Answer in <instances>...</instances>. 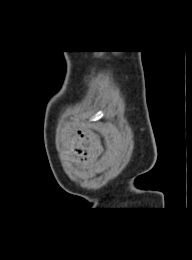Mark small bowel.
Here are the masks:
<instances>
[{
  "instance_id": "small-bowel-1",
  "label": "small bowel",
  "mask_w": 192,
  "mask_h": 260,
  "mask_svg": "<svg viewBox=\"0 0 192 260\" xmlns=\"http://www.w3.org/2000/svg\"><path fill=\"white\" fill-rule=\"evenodd\" d=\"M74 155L79 162L86 163L101 152L100 141L91 131L77 127L72 133Z\"/></svg>"
}]
</instances>
